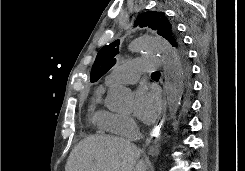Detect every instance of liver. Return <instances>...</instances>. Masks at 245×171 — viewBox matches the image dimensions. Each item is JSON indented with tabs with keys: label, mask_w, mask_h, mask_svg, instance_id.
<instances>
[{
	"label": "liver",
	"mask_w": 245,
	"mask_h": 171,
	"mask_svg": "<svg viewBox=\"0 0 245 171\" xmlns=\"http://www.w3.org/2000/svg\"><path fill=\"white\" fill-rule=\"evenodd\" d=\"M140 149L113 136H89L69 155L65 171H146Z\"/></svg>",
	"instance_id": "6515ba94"
}]
</instances>
